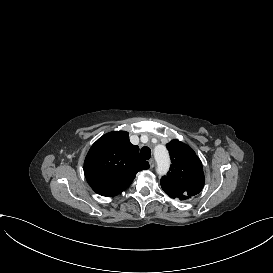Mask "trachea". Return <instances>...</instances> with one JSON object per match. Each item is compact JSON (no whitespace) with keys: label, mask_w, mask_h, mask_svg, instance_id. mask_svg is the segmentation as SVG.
I'll return each instance as SVG.
<instances>
[{"label":"trachea","mask_w":273,"mask_h":273,"mask_svg":"<svg viewBox=\"0 0 273 273\" xmlns=\"http://www.w3.org/2000/svg\"><path fill=\"white\" fill-rule=\"evenodd\" d=\"M140 154L143 159L148 160L151 157V149L149 147H143Z\"/></svg>","instance_id":"trachea-1"}]
</instances>
